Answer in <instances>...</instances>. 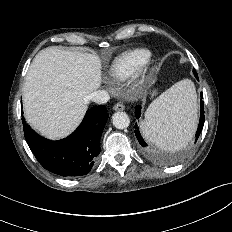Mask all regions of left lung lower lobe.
Instances as JSON below:
<instances>
[{"instance_id":"left-lung-lower-lobe-1","label":"left lung lower lobe","mask_w":232,"mask_h":232,"mask_svg":"<svg viewBox=\"0 0 232 232\" xmlns=\"http://www.w3.org/2000/svg\"><path fill=\"white\" fill-rule=\"evenodd\" d=\"M193 73H194L196 79H198V75H197L195 70H193ZM201 98H203L202 93H201ZM200 105H201V117H200L198 129H197V133H196V140L198 139V137H199V135H200V133H201V131L203 129V125H204V121H205V116L203 114V101L202 100L200 102ZM140 113H141V106L138 105V106L135 107V116H136L137 119H139ZM135 135H136V137H137V139H138V141H139V143H140V145L142 147L147 146V144L144 142L143 138L140 135L139 127L137 125H135Z\"/></svg>"}]
</instances>
